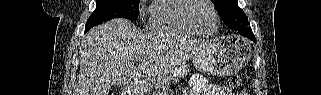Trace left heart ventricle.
Instances as JSON below:
<instances>
[{
    "mask_svg": "<svg viewBox=\"0 0 321 95\" xmlns=\"http://www.w3.org/2000/svg\"><path fill=\"white\" fill-rule=\"evenodd\" d=\"M191 19L196 27L204 33L214 28V17L210 6L204 2H196L191 10Z\"/></svg>",
    "mask_w": 321,
    "mask_h": 95,
    "instance_id": "obj_1",
    "label": "left heart ventricle"
}]
</instances>
